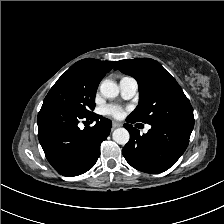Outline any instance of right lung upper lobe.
I'll list each match as a JSON object with an SVG mask.
<instances>
[{
    "instance_id": "1",
    "label": "right lung upper lobe",
    "mask_w": 224,
    "mask_h": 224,
    "mask_svg": "<svg viewBox=\"0 0 224 224\" xmlns=\"http://www.w3.org/2000/svg\"><path fill=\"white\" fill-rule=\"evenodd\" d=\"M114 61H100L97 59H83L73 64L70 69L79 71L98 82L109 72L115 65Z\"/></svg>"
}]
</instances>
